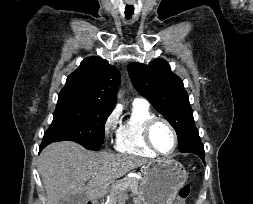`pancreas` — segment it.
<instances>
[{
	"label": "pancreas",
	"instance_id": "pancreas-1",
	"mask_svg": "<svg viewBox=\"0 0 253 204\" xmlns=\"http://www.w3.org/2000/svg\"><path fill=\"white\" fill-rule=\"evenodd\" d=\"M128 183L126 188L121 185ZM139 180L137 178H124L111 185L110 199L106 204H115L116 201H123L126 199L125 191L129 189L134 195L138 194Z\"/></svg>",
	"mask_w": 253,
	"mask_h": 204
}]
</instances>
